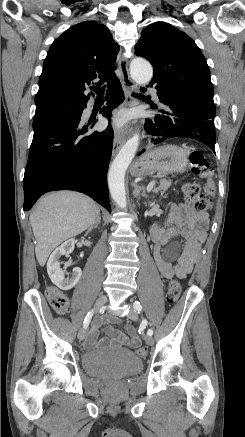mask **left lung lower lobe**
Returning <instances> with one entry per match:
<instances>
[{
  "instance_id": "obj_1",
  "label": "left lung lower lobe",
  "mask_w": 245,
  "mask_h": 437,
  "mask_svg": "<svg viewBox=\"0 0 245 437\" xmlns=\"http://www.w3.org/2000/svg\"><path fill=\"white\" fill-rule=\"evenodd\" d=\"M163 108L160 114L146 119V131L158 144L173 137L196 139L215 152L216 133L214 101L194 91L152 80ZM156 109V107H152ZM141 151L139 155L144 152Z\"/></svg>"
}]
</instances>
